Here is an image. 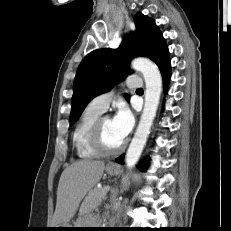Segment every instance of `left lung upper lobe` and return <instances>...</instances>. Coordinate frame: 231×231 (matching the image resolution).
I'll return each mask as SVG.
<instances>
[{"mask_svg":"<svg viewBox=\"0 0 231 231\" xmlns=\"http://www.w3.org/2000/svg\"><path fill=\"white\" fill-rule=\"evenodd\" d=\"M134 20L136 30L131 32L117 49L95 50L80 63L73 85L71 123L78 120L91 99L107 92L114 84L132 73L129 68L132 58L144 56L152 60L165 43L154 20L141 13L136 14Z\"/></svg>","mask_w":231,"mask_h":231,"instance_id":"obj_1","label":"left lung upper lobe"}]
</instances>
